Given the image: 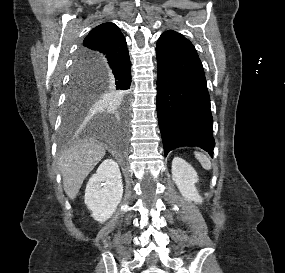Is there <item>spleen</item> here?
<instances>
[{
    "mask_svg": "<svg viewBox=\"0 0 285 273\" xmlns=\"http://www.w3.org/2000/svg\"><path fill=\"white\" fill-rule=\"evenodd\" d=\"M195 157L199 160L200 164L202 165V167L204 169H206V170L211 169L210 159L206 155H204L203 153H200V152H196Z\"/></svg>",
    "mask_w": 285,
    "mask_h": 273,
    "instance_id": "obj_1",
    "label": "spleen"
}]
</instances>
